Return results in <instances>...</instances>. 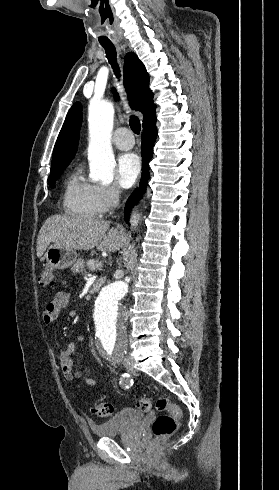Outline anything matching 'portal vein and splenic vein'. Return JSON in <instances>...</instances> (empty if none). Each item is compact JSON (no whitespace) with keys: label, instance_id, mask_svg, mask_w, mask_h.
<instances>
[{"label":"portal vein and splenic vein","instance_id":"18ae733b","mask_svg":"<svg viewBox=\"0 0 279 490\" xmlns=\"http://www.w3.org/2000/svg\"><path fill=\"white\" fill-rule=\"evenodd\" d=\"M88 266H89V268H94L95 262H88Z\"/></svg>","mask_w":279,"mask_h":490}]
</instances>
